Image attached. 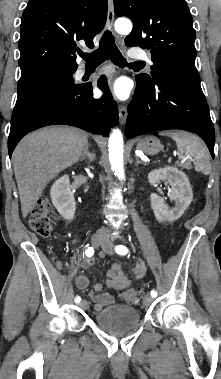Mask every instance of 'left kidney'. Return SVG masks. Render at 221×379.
Returning a JSON list of instances; mask_svg holds the SVG:
<instances>
[{
    "instance_id": "obj_1",
    "label": "left kidney",
    "mask_w": 221,
    "mask_h": 379,
    "mask_svg": "<svg viewBox=\"0 0 221 379\" xmlns=\"http://www.w3.org/2000/svg\"><path fill=\"white\" fill-rule=\"evenodd\" d=\"M160 180H167L170 183L171 190L168 196L175 201V207H167L164 199L155 193L150 195L151 207L159 222H172L179 219L192 202V187L185 173L175 167L159 168L148 174L151 185L159 183Z\"/></svg>"
}]
</instances>
